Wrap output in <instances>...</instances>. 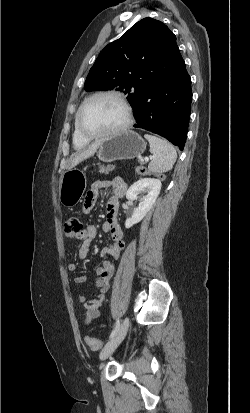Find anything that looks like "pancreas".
<instances>
[{"label": "pancreas", "mask_w": 250, "mask_h": 413, "mask_svg": "<svg viewBox=\"0 0 250 413\" xmlns=\"http://www.w3.org/2000/svg\"><path fill=\"white\" fill-rule=\"evenodd\" d=\"M142 162H143V161L141 160V163H142ZM114 168H115V167H114L113 165H107V166H105V165H100V166H99V172H100V173L108 174L110 171H113ZM140 169H142V167H138V168H137V173L143 175L144 173H141V172L139 171Z\"/></svg>", "instance_id": "obj_1"}]
</instances>
